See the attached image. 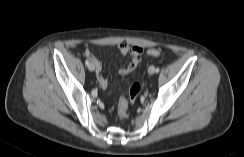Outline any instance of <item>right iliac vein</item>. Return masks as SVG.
<instances>
[{"instance_id": "63e3f726", "label": "right iliac vein", "mask_w": 244, "mask_h": 157, "mask_svg": "<svg viewBox=\"0 0 244 157\" xmlns=\"http://www.w3.org/2000/svg\"><path fill=\"white\" fill-rule=\"evenodd\" d=\"M88 69H89V71L93 72L95 70L94 65L90 63L88 65Z\"/></svg>"}]
</instances>
